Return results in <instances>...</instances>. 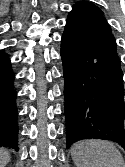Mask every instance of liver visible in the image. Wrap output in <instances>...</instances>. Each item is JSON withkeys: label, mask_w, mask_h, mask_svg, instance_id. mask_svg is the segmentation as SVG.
Masks as SVG:
<instances>
[{"label": "liver", "mask_w": 125, "mask_h": 167, "mask_svg": "<svg viewBox=\"0 0 125 167\" xmlns=\"http://www.w3.org/2000/svg\"><path fill=\"white\" fill-rule=\"evenodd\" d=\"M10 160L9 150L0 148V167H5Z\"/></svg>", "instance_id": "1"}]
</instances>
